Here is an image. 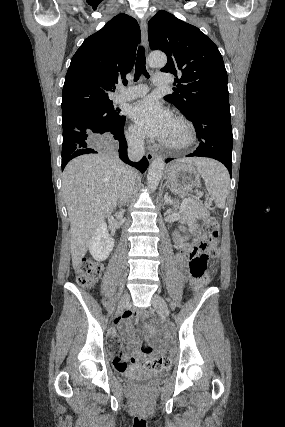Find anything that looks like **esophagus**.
I'll return each mask as SVG.
<instances>
[{
    "mask_svg": "<svg viewBox=\"0 0 285 427\" xmlns=\"http://www.w3.org/2000/svg\"><path fill=\"white\" fill-rule=\"evenodd\" d=\"M140 29H141V36H142L143 45L147 49V47H148V39H147V23H146V20L142 19L140 21ZM155 156H156V153H154V152H148L146 154V157H147V159H148L149 162H151L154 159Z\"/></svg>",
    "mask_w": 285,
    "mask_h": 427,
    "instance_id": "esophagus-1",
    "label": "esophagus"
}]
</instances>
